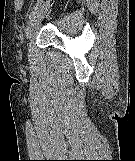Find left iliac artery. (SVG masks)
I'll return each mask as SVG.
<instances>
[{
  "instance_id": "1",
  "label": "left iliac artery",
  "mask_w": 135,
  "mask_h": 161,
  "mask_svg": "<svg viewBox=\"0 0 135 161\" xmlns=\"http://www.w3.org/2000/svg\"><path fill=\"white\" fill-rule=\"evenodd\" d=\"M42 2H43V0H37V2L31 8L29 18H31L34 15V13L36 12V10L38 9V7L41 5Z\"/></svg>"
}]
</instances>
